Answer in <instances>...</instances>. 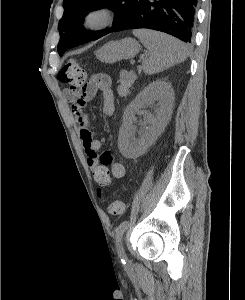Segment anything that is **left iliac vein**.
<instances>
[{
  "instance_id": "1",
  "label": "left iliac vein",
  "mask_w": 245,
  "mask_h": 300,
  "mask_svg": "<svg viewBox=\"0 0 245 300\" xmlns=\"http://www.w3.org/2000/svg\"><path fill=\"white\" fill-rule=\"evenodd\" d=\"M120 250H121V252L124 254V248H123V243L121 242V244H120Z\"/></svg>"
}]
</instances>
